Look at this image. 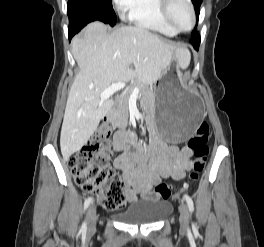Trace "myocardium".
<instances>
[{
	"label": "myocardium",
	"mask_w": 264,
	"mask_h": 247,
	"mask_svg": "<svg viewBox=\"0 0 264 247\" xmlns=\"http://www.w3.org/2000/svg\"><path fill=\"white\" fill-rule=\"evenodd\" d=\"M160 9L161 13L166 20V22L176 31V32H186L191 30L195 23H196V11L194 4L191 0H184V2L188 5L190 12H191V23L188 27L186 28H179L175 25L174 21L172 20L171 17V6L174 0H160Z\"/></svg>",
	"instance_id": "1"
}]
</instances>
